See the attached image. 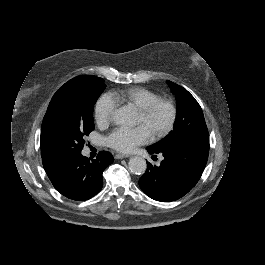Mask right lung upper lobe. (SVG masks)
Segmentation results:
<instances>
[{
  "label": "right lung upper lobe",
  "instance_id": "obj_1",
  "mask_svg": "<svg viewBox=\"0 0 265 265\" xmlns=\"http://www.w3.org/2000/svg\"><path fill=\"white\" fill-rule=\"evenodd\" d=\"M47 164V162H43V165H46Z\"/></svg>",
  "mask_w": 265,
  "mask_h": 265
}]
</instances>
